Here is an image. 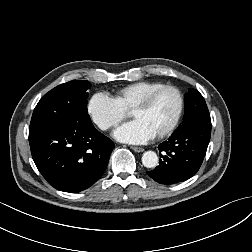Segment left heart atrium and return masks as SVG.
<instances>
[{"label":"left heart atrium","mask_w":252,"mask_h":252,"mask_svg":"<svg viewBox=\"0 0 252 252\" xmlns=\"http://www.w3.org/2000/svg\"><path fill=\"white\" fill-rule=\"evenodd\" d=\"M114 137L129 144H142L155 137V133L141 120L134 119L114 131Z\"/></svg>","instance_id":"39dd6f15"}]
</instances>
